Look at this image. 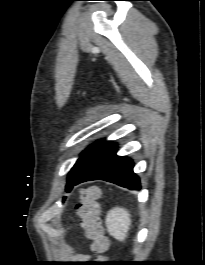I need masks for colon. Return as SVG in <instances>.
<instances>
[{"label":"colon","instance_id":"5ec220e1","mask_svg":"<svg viewBox=\"0 0 205 265\" xmlns=\"http://www.w3.org/2000/svg\"><path fill=\"white\" fill-rule=\"evenodd\" d=\"M99 191L89 187L82 191L80 203L77 207L82 227L88 239L92 241L91 248L101 259L108 250V239L104 236L99 219L98 205Z\"/></svg>","mask_w":205,"mask_h":265}]
</instances>
